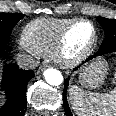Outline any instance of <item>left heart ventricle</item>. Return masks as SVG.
<instances>
[{"instance_id":"left-heart-ventricle-1","label":"left heart ventricle","mask_w":116,"mask_h":116,"mask_svg":"<svg viewBox=\"0 0 116 116\" xmlns=\"http://www.w3.org/2000/svg\"><path fill=\"white\" fill-rule=\"evenodd\" d=\"M92 36V28L89 24L82 23L71 31L67 38V49L69 54L79 53L88 43Z\"/></svg>"}]
</instances>
